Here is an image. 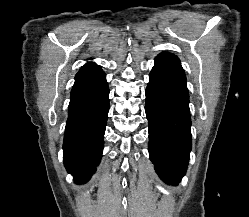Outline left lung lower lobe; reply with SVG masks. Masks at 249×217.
Masks as SVG:
<instances>
[{"label":"left lung lower lobe","instance_id":"1","mask_svg":"<svg viewBox=\"0 0 249 217\" xmlns=\"http://www.w3.org/2000/svg\"><path fill=\"white\" fill-rule=\"evenodd\" d=\"M145 111L150 160L164 182L177 185L186 173L192 146L189 93L178 58H155L146 88Z\"/></svg>","mask_w":249,"mask_h":217}]
</instances>
